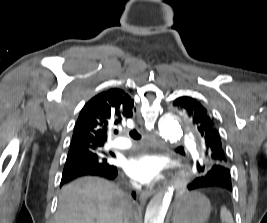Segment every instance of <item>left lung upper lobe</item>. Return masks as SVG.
<instances>
[{
  "label": "left lung upper lobe",
  "instance_id": "obj_1",
  "mask_svg": "<svg viewBox=\"0 0 267 223\" xmlns=\"http://www.w3.org/2000/svg\"><path fill=\"white\" fill-rule=\"evenodd\" d=\"M173 106L185 118L201 147L202 155L194 162L197 173H230L228 156L212 114L196 99L187 96L177 98Z\"/></svg>",
  "mask_w": 267,
  "mask_h": 223
}]
</instances>
